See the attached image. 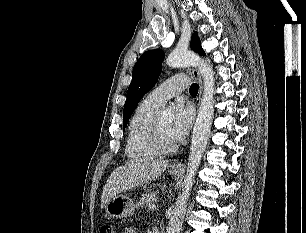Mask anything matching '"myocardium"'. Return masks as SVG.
Returning <instances> with one entry per match:
<instances>
[{
    "label": "myocardium",
    "mask_w": 306,
    "mask_h": 233,
    "mask_svg": "<svg viewBox=\"0 0 306 233\" xmlns=\"http://www.w3.org/2000/svg\"><path fill=\"white\" fill-rule=\"evenodd\" d=\"M150 139H151V143L153 145V147L155 148V150L159 153V154H169V153H173L177 150V145L176 144H166L157 127V123L154 120L152 122L151 125V129H150Z\"/></svg>",
    "instance_id": "obj_1"
}]
</instances>
